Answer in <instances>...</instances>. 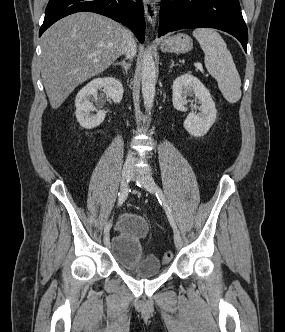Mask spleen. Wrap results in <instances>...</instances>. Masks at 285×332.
Instances as JSON below:
<instances>
[{
    "instance_id": "obj_1",
    "label": "spleen",
    "mask_w": 285,
    "mask_h": 332,
    "mask_svg": "<svg viewBox=\"0 0 285 332\" xmlns=\"http://www.w3.org/2000/svg\"><path fill=\"white\" fill-rule=\"evenodd\" d=\"M205 57L207 71L218 82V87L229 103L241 98V79L230 51L221 35L212 28H197L193 31Z\"/></svg>"
}]
</instances>
